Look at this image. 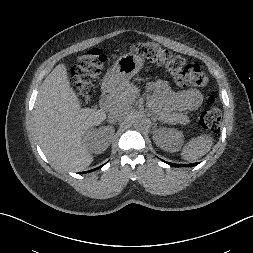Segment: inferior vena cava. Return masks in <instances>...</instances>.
<instances>
[{
	"mask_svg": "<svg viewBox=\"0 0 253 253\" xmlns=\"http://www.w3.org/2000/svg\"><path fill=\"white\" fill-rule=\"evenodd\" d=\"M128 104L115 103L108 108V121L110 123H116L125 118L128 112Z\"/></svg>",
	"mask_w": 253,
	"mask_h": 253,
	"instance_id": "602c4592",
	"label": "inferior vena cava"
}]
</instances>
